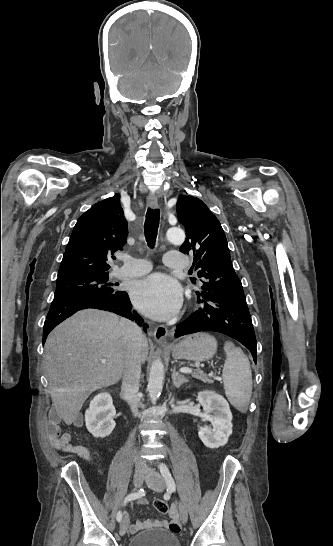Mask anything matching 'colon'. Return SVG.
Instances as JSON below:
<instances>
[{"label":"colon","mask_w":333,"mask_h":546,"mask_svg":"<svg viewBox=\"0 0 333 546\" xmlns=\"http://www.w3.org/2000/svg\"><path fill=\"white\" fill-rule=\"evenodd\" d=\"M154 507H155L156 511L161 513V514H166L169 511L168 504L164 500H161V499L155 500Z\"/></svg>","instance_id":"5ec220e1"}]
</instances>
